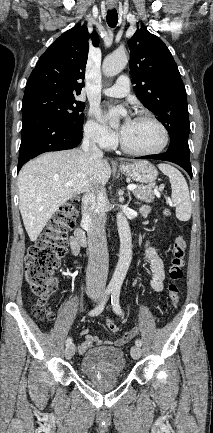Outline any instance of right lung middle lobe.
I'll return each mask as SVG.
<instances>
[{
  "label": "right lung middle lobe",
  "mask_w": 213,
  "mask_h": 433,
  "mask_svg": "<svg viewBox=\"0 0 213 433\" xmlns=\"http://www.w3.org/2000/svg\"><path fill=\"white\" fill-rule=\"evenodd\" d=\"M84 108L85 104L76 100L74 95L37 93L24 96L22 100V113L27 111L43 113L78 132H82Z\"/></svg>",
  "instance_id": "obj_1"
}]
</instances>
